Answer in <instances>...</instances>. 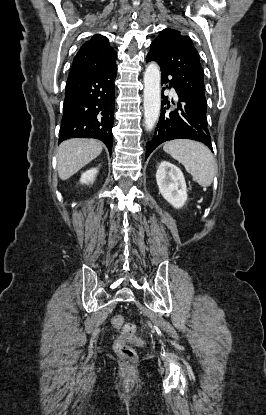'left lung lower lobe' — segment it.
<instances>
[{
    "instance_id": "left-lung-lower-lobe-1",
    "label": "left lung lower lobe",
    "mask_w": 266,
    "mask_h": 415,
    "mask_svg": "<svg viewBox=\"0 0 266 415\" xmlns=\"http://www.w3.org/2000/svg\"><path fill=\"white\" fill-rule=\"evenodd\" d=\"M153 58L147 55L146 61H152ZM161 83L166 88L173 87L179 97L176 108H170L168 97L162 96V107L160 119L157 124L153 139L146 144V156L161 143L173 139H192L204 143L212 150L211 137L208 131L206 112L198 107L175 83L169 75L161 71ZM163 88V91L164 92ZM174 104V102L172 101ZM213 151V150H212Z\"/></svg>"
}]
</instances>
